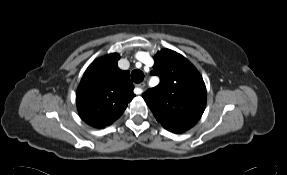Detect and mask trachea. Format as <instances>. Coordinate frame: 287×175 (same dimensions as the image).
I'll use <instances>...</instances> for the list:
<instances>
[{
	"label": "trachea",
	"mask_w": 287,
	"mask_h": 175,
	"mask_svg": "<svg viewBox=\"0 0 287 175\" xmlns=\"http://www.w3.org/2000/svg\"><path fill=\"white\" fill-rule=\"evenodd\" d=\"M131 79L135 83H140L144 79V73L139 69L133 70L131 73Z\"/></svg>",
	"instance_id": "trachea-1"
}]
</instances>
